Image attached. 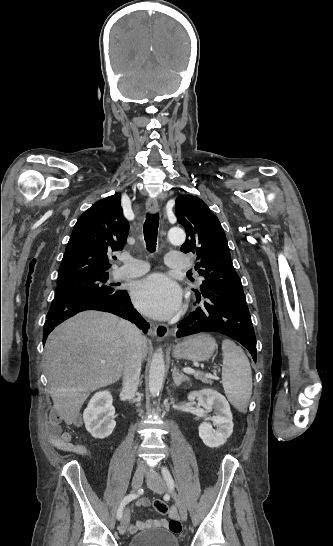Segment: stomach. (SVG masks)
<instances>
[{
  "instance_id": "0dacf381",
  "label": "stomach",
  "mask_w": 333,
  "mask_h": 546,
  "mask_svg": "<svg viewBox=\"0 0 333 546\" xmlns=\"http://www.w3.org/2000/svg\"><path fill=\"white\" fill-rule=\"evenodd\" d=\"M216 348V341L207 334H196L188 337L174 347L173 355L177 359L194 361L208 360Z\"/></svg>"
}]
</instances>
